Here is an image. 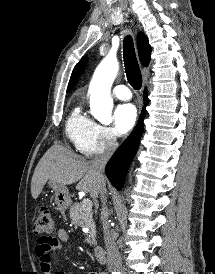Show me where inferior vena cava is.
<instances>
[{"mask_svg": "<svg viewBox=\"0 0 215 274\" xmlns=\"http://www.w3.org/2000/svg\"><path fill=\"white\" fill-rule=\"evenodd\" d=\"M117 146L118 143L116 137L111 136L107 141L105 151L91 161L92 167L102 179H104L102 173L104 171L105 165L112 156L113 152L116 150ZM106 193L107 191L105 184L103 183L100 190V198L102 202L101 221L104 231V243L107 251V265L108 269L111 271H120L122 270V260L114 240V235L110 231V224L108 221L109 214L106 207Z\"/></svg>", "mask_w": 215, "mask_h": 274, "instance_id": "inferior-vena-cava-1", "label": "inferior vena cava"}]
</instances>
